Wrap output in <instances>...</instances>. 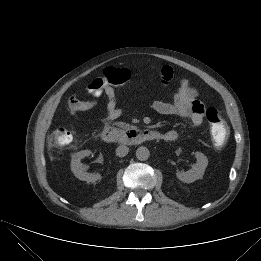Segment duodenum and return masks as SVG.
<instances>
[{
    "label": "duodenum",
    "mask_w": 261,
    "mask_h": 261,
    "mask_svg": "<svg viewBox=\"0 0 261 261\" xmlns=\"http://www.w3.org/2000/svg\"><path fill=\"white\" fill-rule=\"evenodd\" d=\"M102 138L110 143H121L128 145L140 144L144 141L155 140L161 138V135L151 129L138 130V129H127L122 130L113 126L105 127L101 132Z\"/></svg>",
    "instance_id": "1"
}]
</instances>
